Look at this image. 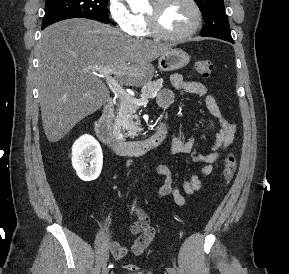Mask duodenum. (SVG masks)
<instances>
[{"instance_id":"obj_1","label":"duodenum","mask_w":289,"mask_h":274,"mask_svg":"<svg viewBox=\"0 0 289 274\" xmlns=\"http://www.w3.org/2000/svg\"><path fill=\"white\" fill-rule=\"evenodd\" d=\"M114 103L107 99L103 111L95 124L98 139L117 154H142L160 147L168 134V124L163 122L157 131L144 140L125 141L115 138L113 134Z\"/></svg>"}]
</instances>
